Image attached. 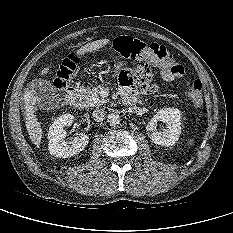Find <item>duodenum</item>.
Instances as JSON below:
<instances>
[{"label":"duodenum","mask_w":233,"mask_h":233,"mask_svg":"<svg viewBox=\"0 0 233 233\" xmlns=\"http://www.w3.org/2000/svg\"><path fill=\"white\" fill-rule=\"evenodd\" d=\"M78 95H79V88L76 85H71L67 88L65 94V102L69 106H76L78 104ZM134 95H127L124 97V100L128 104H132L135 102Z\"/></svg>","instance_id":"duodenum-1"}]
</instances>
